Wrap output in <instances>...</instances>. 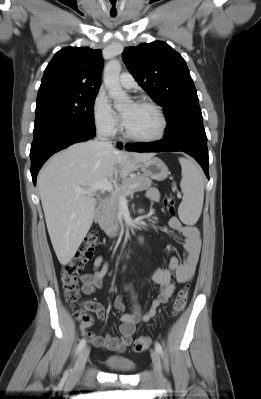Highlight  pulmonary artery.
Instances as JSON below:
<instances>
[{
	"mask_svg": "<svg viewBox=\"0 0 261 399\" xmlns=\"http://www.w3.org/2000/svg\"><path fill=\"white\" fill-rule=\"evenodd\" d=\"M120 84L125 89H132L136 86V81L131 74L122 73L120 75Z\"/></svg>",
	"mask_w": 261,
	"mask_h": 399,
	"instance_id": "e3ab8cb5",
	"label": "pulmonary artery"
}]
</instances>
